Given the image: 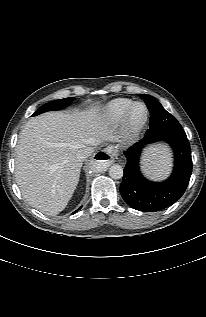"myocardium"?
<instances>
[{
  "instance_id": "myocardium-1",
  "label": "myocardium",
  "mask_w": 206,
  "mask_h": 317,
  "mask_svg": "<svg viewBox=\"0 0 206 317\" xmlns=\"http://www.w3.org/2000/svg\"><path fill=\"white\" fill-rule=\"evenodd\" d=\"M143 107L144 114L141 118L137 119L134 116L136 108ZM149 117V110L142 102L134 103L126 112L123 117L122 128L124 135L127 138L135 137L146 125Z\"/></svg>"
}]
</instances>
